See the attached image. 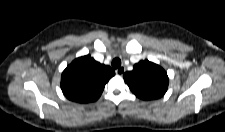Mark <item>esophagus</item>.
I'll return each instance as SVG.
<instances>
[{
	"mask_svg": "<svg viewBox=\"0 0 225 132\" xmlns=\"http://www.w3.org/2000/svg\"><path fill=\"white\" fill-rule=\"evenodd\" d=\"M115 72H116L117 75L121 76V75H123L124 72H125V67L121 66V67H119L118 69H116Z\"/></svg>",
	"mask_w": 225,
	"mask_h": 132,
	"instance_id": "esophagus-1",
	"label": "esophagus"
}]
</instances>
